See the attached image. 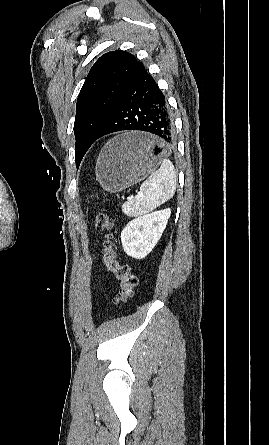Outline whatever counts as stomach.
<instances>
[{
  "label": "stomach",
  "instance_id": "stomach-1",
  "mask_svg": "<svg viewBox=\"0 0 269 445\" xmlns=\"http://www.w3.org/2000/svg\"><path fill=\"white\" fill-rule=\"evenodd\" d=\"M164 151V142L152 135L121 134L101 150L95 167L96 178L104 190L122 191L155 171Z\"/></svg>",
  "mask_w": 269,
  "mask_h": 445
}]
</instances>
